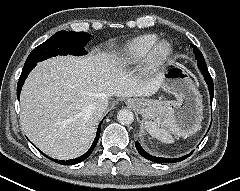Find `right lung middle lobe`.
<instances>
[{
  "label": "right lung middle lobe",
  "instance_id": "dd1d6c3e",
  "mask_svg": "<svg viewBox=\"0 0 240 191\" xmlns=\"http://www.w3.org/2000/svg\"><path fill=\"white\" fill-rule=\"evenodd\" d=\"M90 39L91 35L85 32L59 31L36 47L28 56L24 66L36 65L57 55H85L87 51L84 47Z\"/></svg>",
  "mask_w": 240,
  "mask_h": 191
}]
</instances>
